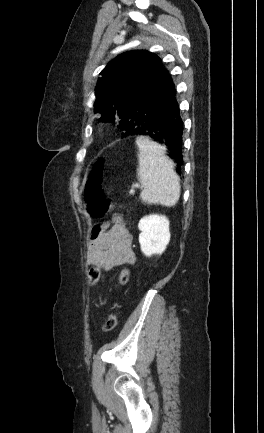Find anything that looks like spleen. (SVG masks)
<instances>
[{"mask_svg": "<svg viewBox=\"0 0 264 433\" xmlns=\"http://www.w3.org/2000/svg\"><path fill=\"white\" fill-rule=\"evenodd\" d=\"M139 148L138 176L144 189L141 199L148 204L174 206L180 197L179 177L164 148L147 137L136 139Z\"/></svg>", "mask_w": 264, "mask_h": 433, "instance_id": "spleen-1", "label": "spleen"}]
</instances>
